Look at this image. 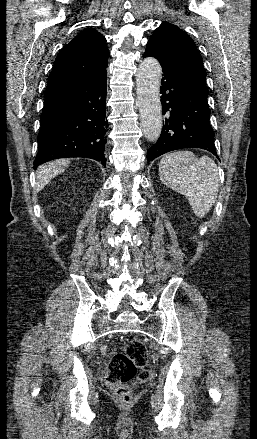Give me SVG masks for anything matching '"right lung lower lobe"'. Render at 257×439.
<instances>
[{"instance_id": "98d812e1", "label": "right lung lower lobe", "mask_w": 257, "mask_h": 439, "mask_svg": "<svg viewBox=\"0 0 257 439\" xmlns=\"http://www.w3.org/2000/svg\"><path fill=\"white\" fill-rule=\"evenodd\" d=\"M106 73L45 96L34 169L67 157L91 158L106 166Z\"/></svg>"}]
</instances>
